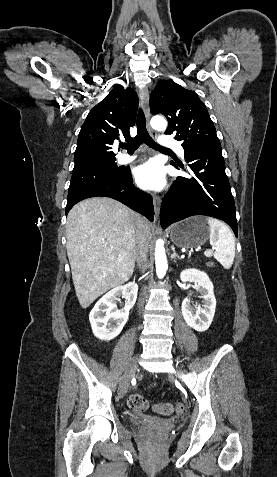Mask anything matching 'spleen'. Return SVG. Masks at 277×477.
<instances>
[{"label":"spleen","mask_w":277,"mask_h":477,"mask_svg":"<svg viewBox=\"0 0 277 477\" xmlns=\"http://www.w3.org/2000/svg\"><path fill=\"white\" fill-rule=\"evenodd\" d=\"M210 244L215 247L214 258L225 268L230 269L235 257V239L230 228L223 222L208 218Z\"/></svg>","instance_id":"3e777b00"}]
</instances>
